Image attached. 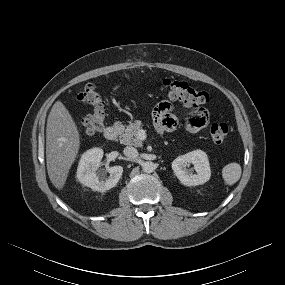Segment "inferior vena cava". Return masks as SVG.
Segmentation results:
<instances>
[{
	"label": "inferior vena cava",
	"instance_id": "inferior-vena-cava-1",
	"mask_svg": "<svg viewBox=\"0 0 285 285\" xmlns=\"http://www.w3.org/2000/svg\"><path fill=\"white\" fill-rule=\"evenodd\" d=\"M124 154L130 159H135L138 157V151L134 147L127 146L124 148Z\"/></svg>",
	"mask_w": 285,
	"mask_h": 285
}]
</instances>
